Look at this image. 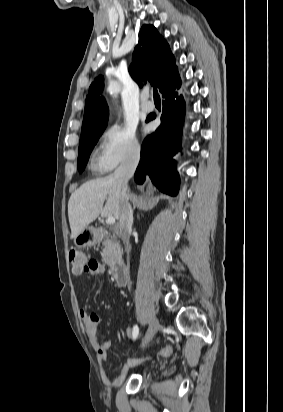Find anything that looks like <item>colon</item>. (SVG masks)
<instances>
[{
    "label": "colon",
    "mask_w": 283,
    "mask_h": 412,
    "mask_svg": "<svg viewBox=\"0 0 283 412\" xmlns=\"http://www.w3.org/2000/svg\"><path fill=\"white\" fill-rule=\"evenodd\" d=\"M68 258L71 270L76 275L89 274L98 269L99 263L96 260L87 259V257L79 251L71 250Z\"/></svg>",
    "instance_id": "obj_1"
}]
</instances>
